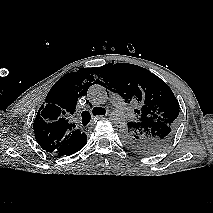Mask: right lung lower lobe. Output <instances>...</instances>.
<instances>
[{
  "label": "right lung lower lobe",
  "instance_id": "right-lung-lower-lobe-1",
  "mask_svg": "<svg viewBox=\"0 0 213 213\" xmlns=\"http://www.w3.org/2000/svg\"><path fill=\"white\" fill-rule=\"evenodd\" d=\"M86 143H87V136L85 134V136L80 141H78L74 146L65 151L59 152L58 155L69 156L71 154H74L80 149H82L86 145Z\"/></svg>",
  "mask_w": 213,
  "mask_h": 213
}]
</instances>
